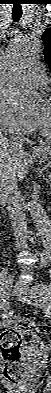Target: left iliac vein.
Segmentation results:
<instances>
[{"mask_svg": "<svg viewBox=\"0 0 51 393\" xmlns=\"http://www.w3.org/2000/svg\"><path fill=\"white\" fill-rule=\"evenodd\" d=\"M14 292L17 296L24 298L28 304L44 309H50V303L45 298V293H43V290L37 286L30 287L18 283L15 285Z\"/></svg>", "mask_w": 51, "mask_h": 393, "instance_id": "4c4485c4", "label": "left iliac vein"}]
</instances>
